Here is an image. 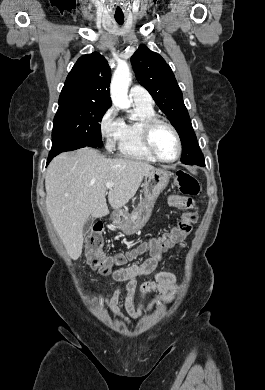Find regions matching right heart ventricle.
<instances>
[{
    "mask_svg": "<svg viewBox=\"0 0 265 390\" xmlns=\"http://www.w3.org/2000/svg\"><path fill=\"white\" fill-rule=\"evenodd\" d=\"M134 110L137 117L136 121H122V126L115 142L118 154L132 160L156 162V159L145 149L141 137L142 123L148 118L156 116L154 108L152 105L134 103Z\"/></svg>",
    "mask_w": 265,
    "mask_h": 390,
    "instance_id": "1",
    "label": "right heart ventricle"
}]
</instances>
